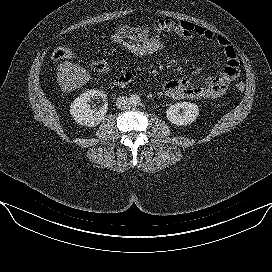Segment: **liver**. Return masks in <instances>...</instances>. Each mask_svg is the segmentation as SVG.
<instances>
[{
	"label": "liver",
	"mask_w": 272,
	"mask_h": 272,
	"mask_svg": "<svg viewBox=\"0 0 272 272\" xmlns=\"http://www.w3.org/2000/svg\"><path fill=\"white\" fill-rule=\"evenodd\" d=\"M57 76L63 92H71L91 79L90 73L85 68L71 62L60 63Z\"/></svg>",
	"instance_id": "6515ba94"
}]
</instances>
